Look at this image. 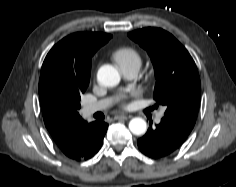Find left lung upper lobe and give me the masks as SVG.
Wrapping results in <instances>:
<instances>
[{
  "instance_id": "obj_1",
  "label": "left lung upper lobe",
  "mask_w": 236,
  "mask_h": 187,
  "mask_svg": "<svg viewBox=\"0 0 236 187\" xmlns=\"http://www.w3.org/2000/svg\"><path fill=\"white\" fill-rule=\"evenodd\" d=\"M128 36L147 50L154 66L153 98L166 106L165 119L191 132L201 96L197 67L186 48L160 28H143Z\"/></svg>"
}]
</instances>
